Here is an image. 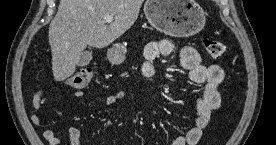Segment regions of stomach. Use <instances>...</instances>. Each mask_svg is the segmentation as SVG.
<instances>
[{
    "instance_id": "stomach-1",
    "label": "stomach",
    "mask_w": 276,
    "mask_h": 145,
    "mask_svg": "<svg viewBox=\"0 0 276 145\" xmlns=\"http://www.w3.org/2000/svg\"><path fill=\"white\" fill-rule=\"evenodd\" d=\"M144 13L150 25L172 37H189L205 26L204 10L195 0H147ZM125 48L116 46L107 52L112 64L125 60Z\"/></svg>"
}]
</instances>
